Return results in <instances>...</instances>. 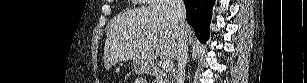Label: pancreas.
I'll return each instance as SVG.
<instances>
[{
	"label": "pancreas",
	"instance_id": "pancreas-1",
	"mask_svg": "<svg viewBox=\"0 0 307 83\" xmlns=\"http://www.w3.org/2000/svg\"><path fill=\"white\" fill-rule=\"evenodd\" d=\"M155 82L156 83H169V79L166 75L159 73L156 75Z\"/></svg>",
	"mask_w": 307,
	"mask_h": 83
}]
</instances>
